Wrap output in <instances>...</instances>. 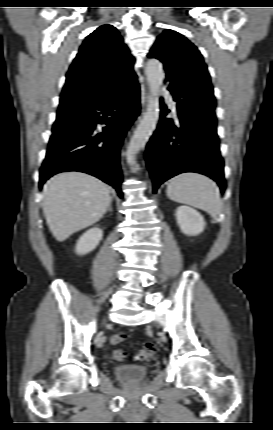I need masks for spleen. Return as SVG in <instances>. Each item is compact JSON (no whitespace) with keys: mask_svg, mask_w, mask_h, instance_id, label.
Returning a JSON list of instances; mask_svg holds the SVG:
<instances>
[{"mask_svg":"<svg viewBox=\"0 0 273 430\" xmlns=\"http://www.w3.org/2000/svg\"><path fill=\"white\" fill-rule=\"evenodd\" d=\"M167 196L171 200L193 206L216 217L222 212V201L219 190L209 177L184 172L169 180Z\"/></svg>","mask_w":273,"mask_h":430,"instance_id":"3e777b00","label":"spleen"}]
</instances>
